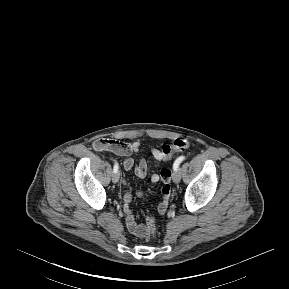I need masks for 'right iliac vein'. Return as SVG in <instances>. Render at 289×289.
I'll list each match as a JSON object with an SVG mask.
<instances>
[{
    "label": "right iliac vein",
    "instance_id": "obj_1",
    "mask_svg": "<svg viewBox=\"0 0 289 289\" xmlns=\"http://www.w3.org/2000/svg\"><path fill=\"white\" fill-rule=\"evenodd\" d=\"M119 178H120L119 172H114L113 175H112L113 183H117L119 181Z\"/></svg>",
    "mask_w": 289,
    "mask_h": 289
}]
</instances>
